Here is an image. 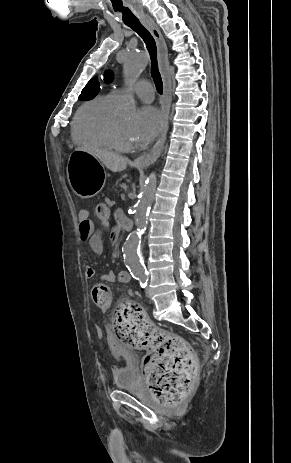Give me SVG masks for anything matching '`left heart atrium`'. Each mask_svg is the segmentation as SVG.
Instances as JSON below:
<instances>
[{"label":"left heart atrium","mask_w":291,"mask_h":463,"mask_svg":"<svg viewBox=\"0 0 291 463\" xmlns=\"http://www.w3.org/2000/svg\"><path fill=\"white\" fill-rule=\"evenodd\" d=\"M163 128L161 113L152 106L142 107L136 116V121L130 129L132 140L138 145L152 141Z\"/></svg>","instance_id":"39dd6f15"}]
</instances>
